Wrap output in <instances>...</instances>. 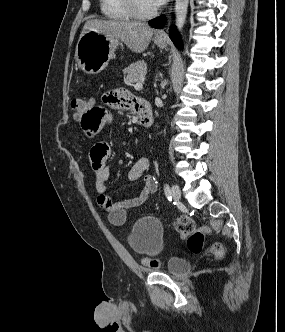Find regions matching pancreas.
I'll use <instances>...</instances> for the list:
<instances>
[{
    "label": "pancreas",
    "instance_id": "obj_1",
    "mask_svg": "<svg viewBox=\"0 0 285 332\" xmlns=\"http://www.w3.org/2000/svg\"><path fill=\"white\" fill-rule=\"evenodd\" d=\"M146 72L147 64L144 61L132 63L123 70L124 83L132 84L138 82L141 78L145 77Z\"/></svg>",
    "mask_w": 285,
    "mask_h": 332
}]
</instances>
